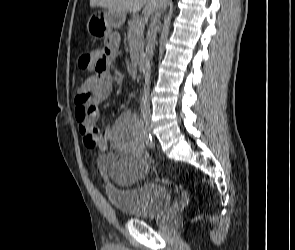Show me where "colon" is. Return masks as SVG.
<instances>
[{"label":"colon","mask_w":295,"mask_h":250,"mask_svg":"<svg viewBox=\"0 0 295 250\" xmlns=\"http://www.w3.org/2000/svg\"><path fill=\"white\" fill-rule=\"evenodd\" d=\"M93 64V58L90 53H84L79 58V67L82 69H89ZM89 109L87 106L81 104L76 106V117L78 122L83 123L87 120Z\"/></svg>","instance_id":"obj_1"}]
</instances>
